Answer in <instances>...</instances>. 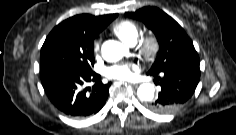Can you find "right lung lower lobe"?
<instances>
[{
	"label": "right lung lower lobe",
	"instance_id": "obj_1",
	"mask_svg": "<svg viewBox=\"0 0 236 135\" xmlns=\"http://www.w3.org/2000/svg\"><path fill=\"white\" fill-rule=\"evenodd\" d=\"M45 93L62 113L74 118L96 114L104 106L111 82L103 84L94 71L52 69L40 71ZM88 82L95 84L85 87Z\"/></svg>",
	"mask_w": 236,
	"mask_h": 135
}]
</instances>
